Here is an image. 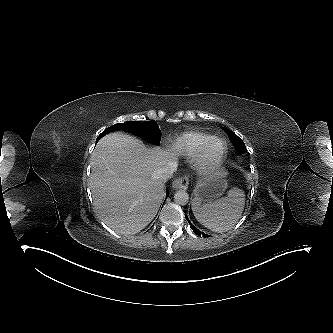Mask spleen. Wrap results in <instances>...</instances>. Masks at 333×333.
I'll return each mask as SVG.
<instances>
[{
  "instance_id": "3e777b00",
  "label": "spleen",
  "mask_w": 333,
  "mask_h": 333,
  "mask_svg": "<svg viewBox=\"0 0 333 333\" xmlns=\"http://www.w3.org/2000/svg\"><path fill=\"white\" fill-rule=\"evenodd\" d=\"M244 192L238 188L228 191L226 197L201 204L194 199L192 211L197 221L204 227L224 232L232 229L244 209Z\"/></svg>"
}]
</instances>
